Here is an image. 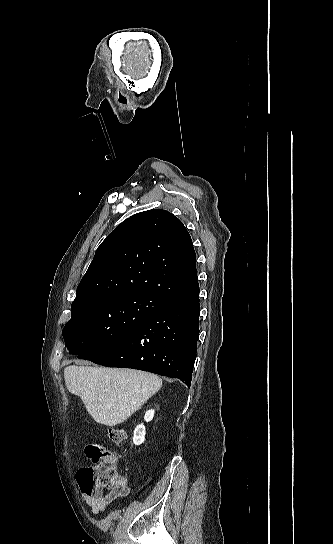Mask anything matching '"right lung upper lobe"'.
<instances>
[{"mask_svg": "<svg viewBox=\"0 0 333 544\" xmlns=\"http://www.w3.org/2000/svg\"><path fill=\"white\" fill-rule=\"evenodd\" d=\"M197 285L196 254L187 229L168 211L148 210L126 219L101 243L73 303L126 293L167 300Z\"/></svg>", "mask_w": 333, "mask_h": 544, "instance_id": "obj_1", "label": "right lung upper lobe"}]
</instances>
